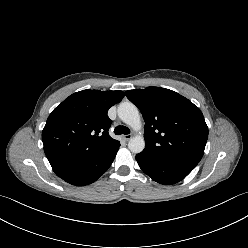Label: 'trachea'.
I'll return each mask as SVG.
<instances>
[{"mask_svg":"<svg viewBox=\"0 0 248 248\" xmlns=\"http://www.w3.org/2000/svg\"><path fill=\"white\" fill-rule=\"evenodd\" d=\"M116 135L129 134L130 129L126 126L119 125L114 129Z\"/></svg>","mask_w":248,"mask_h":248,"instance_id":"1","label":"trachea"}]
</instances>
